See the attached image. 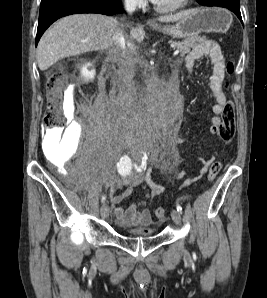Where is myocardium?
Returning <instances> with one entry per match:
<instances>
[{
  "instance_id": "1",
  "label": "myocardium",
  "mask_w": 267,
  "mask_h": 298,
  "mask_svg": "<svg viewBox=\"0 0 267 298\" xmlns=\"http://www.w3.org/2000/svg\"><path fill=\"white\" fill-rule=\"evenodd\" d=\"M190 0H180L174 7L163 8L154 3V9L161 14H175L182 11Z\"/></svg>"
}]
</instances>
